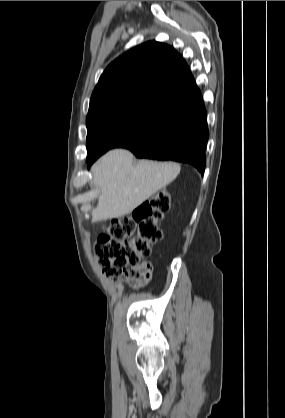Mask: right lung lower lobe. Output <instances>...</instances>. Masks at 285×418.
<instances>
[{"label":"right lung lower lobe","instance_id":"right-lung-lower-lobe-1","mask_svg":"<svg viewBox=\"0 0 285 418\" xmlns=\"http://www.w3.org/2000/svg\"><path fill=\"white\" fill-rule=\"evenodd\" d=\"M208 137L207 111L199 93L170 108L163 118L120 148L129 149L138 158L188 163L204 172ZM96 159L88 160V166Z\"/></svg>","mask_w":285,"mask_h":418}]
</instances>
